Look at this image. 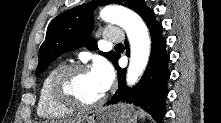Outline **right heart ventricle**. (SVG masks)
I'll list each match as a JSON object with an SVG mask.
<instances>
[{"mask_svg": "<svg viewBox=\"0 0 221 123\" xmlns=\"http://www.w3.org/2000/svg\"><path fill=\"white\" fill-rule=\"evenodd\" d=\"M62 64L52 67L45 75L38 97L37 113L44 119H64L72 115L73 111L57 104L51 95V81Z\"/></svg>", "mask_w": 221, "mask_h": 123, "instance_id": "obj_1", "label": "right heart ventricle"}]
</instances>
